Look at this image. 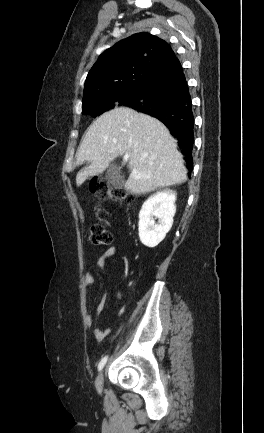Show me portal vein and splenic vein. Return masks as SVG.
I'll return each instance as SVG.
<instances>
[{
    "mask_svg": "<svg viewBox=\"0 0 264 433\" xmlns=\"http://www.w3.org/2000/svg\"><path fill=\"white\" fill-rule=\"evenodd\" d=\"M128 159H129V155H125V156H124V161L127 162ZM136 174H137V172L133 170V171H132V175H136Z\"/></svg>",
    "mask_w": 264,
    "mask_h": 433,
    "instance_id": "obj_1",
    "label": "portal vein and splenic vein"
}]
</instances>
